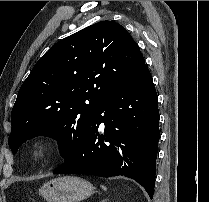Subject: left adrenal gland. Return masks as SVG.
<instances>
[{
  "instance_id": "obj_1",
  "label": "left adrenal gland",
  "mask_w": 209,
  "mask_h": 202,
  "mask_svg": "<svg viewBox=\"0 0 209 202\" xmlns=\"http://www.w3.org/2000/svg\"><path fill=\"white\" fill-rule=\"evenodd\" d=\"M102 202H106V199H105V200H103Z\"/></svg>"
}]
</instances>
